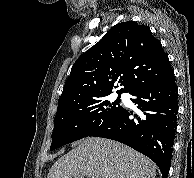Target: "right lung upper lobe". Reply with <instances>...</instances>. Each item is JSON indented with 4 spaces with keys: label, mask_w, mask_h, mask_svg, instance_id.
I'll return each mask as SVG.
<instances>
[{
    "label": "right lung upper lobe",
    "mask_w": 194,
    "mask_h": 178,
    "mask_svg": "<svg viewBox=\"0 0 194 178\" xmlns=\"http://www.w3.org/2000/svg\"><path fill=\"white\" fill-rule=\"evenodd\" d=\"M173 69L161 42L147 26L127 21L113 26L104 37L74 63L58 110L117 91L131 93L164 80ZM57 110V111H58Z\"/></svg>",
    "instance_id": "right-lung-upper-lobe-1"
}]
</instances>
